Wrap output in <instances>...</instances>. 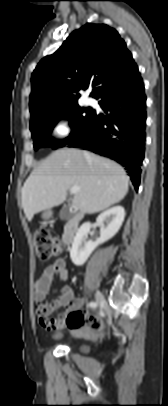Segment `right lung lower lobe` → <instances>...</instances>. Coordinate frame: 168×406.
Masks as SVG:
<instances>
[{
    "instance_id": "98d812e1",
    "label": "right lung lower lobe",
    "mask_w": 168,
    "mask_h": 406,
    "mask_svg": "<svg viewBox=\"0 0 168 406\" xmlns=\"http://www.w3.org/2000/svg\"><path fill=\"white\" fill-rule=\"evenodd\" d=\"M106 115L94 111L88 124L66 145L83 148L125 166L138 190L145 151L146 96L138 68L96 97Z\"/></svg>"
}]
</instances>
